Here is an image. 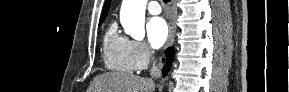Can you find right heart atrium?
Masks as SVG:
<instances>
[{"label":"right heart atrium","instance_id":"d8ad5b80","mask_svg":"<svg viewBox=\"0 0 289 92\" xmlns=\"http://www.w3.org/2000/svg\"><path fill=\"white\" fill-rule=\"evenodd\" d=\"M130 56L135 70L145 69L153 59L151 49L139 40H130Z\"/></svg>","mask_w":289,"mask_h":92}]
</instances>
